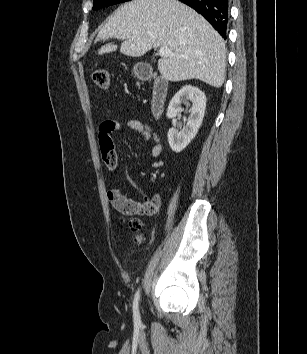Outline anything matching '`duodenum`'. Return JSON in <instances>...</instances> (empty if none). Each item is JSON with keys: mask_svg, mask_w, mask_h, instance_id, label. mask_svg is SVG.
<instances>
[{"mask_svg": "<svg viewBox=\"0 0 307 354\" xmlns=\"http://www.w3.org/2000/svg\"><path fill=\"white\" fill-rule=\"evenodd\" d=\"M139 76L142 79L153 78V90L150 101L151 113L155 118H159L164 111L167 100L168 82L163 77L153 76L146 69L140 70Z\"/></svg>", "mask_w": 307, "mask_h": 354, "instance_id": "1", "label": "duodenum"}]
</instances>
